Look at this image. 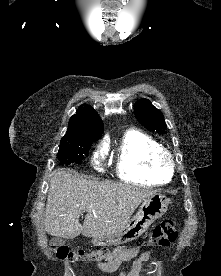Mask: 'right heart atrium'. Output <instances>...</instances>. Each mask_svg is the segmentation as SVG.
<instances>
[{"label": "right heart atrium", "instance_id": "obj_1", "mask_svg": "<svg viewBox=\"0 0 221 276\" xmlns=\"http://www.w3.org/2000/svg\"><path fill=\"white\" fill-rule=\"evenodd\" d=\"M104 157H105V151L103 149H99L94 153L93 162L96 165H99L101 161L104 159Z\"/></svg>", "mask_w": 221, "mask_h": 276}]
</instances>
